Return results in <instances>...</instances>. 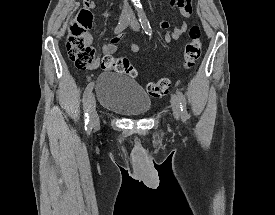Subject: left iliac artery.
I'll list each match as a JSON object with an SVG mask.
<instances>
[{"instance_id":"44dca946","label":"left iliac artery","mask_w":275,"mask_h":215,"mask_svg":"<svg viewBox=\"0 0 275 215\" xmlns=\"http://www.w3.org/2000/svg\"><path fill=\"white\" fill-rule=\"evenodd\" d=\"M137 11H138L139 20H140L143 30L145 31V33L147 35L151 36L152 35L151 26L149 24V21H148L146 15H145L144 10L142 9L141 6H138ZM177 95L179 97V102H180L181 117L184 121H186L187 119H189L190 116L187 111L185 95L180 90H177Z\"/></svg>"}]
</instances>
